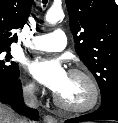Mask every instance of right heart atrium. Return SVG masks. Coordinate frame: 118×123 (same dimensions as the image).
Here are the masks:
<instances>
[{
    "instance_id": "right-heart-atrium-1",
    "label": "right heart atrium",
    "mask_w": 118,
    "mask_h": 123,
    "mask_svg": "<svg viewBox=\"0 0 118 123\" xmlns=\"http://www.w3.org/2000/svg\"><path fill=\"white\" fill-rule=\"evenodd\" d=\"M36 90V86L34 83H28L26 84V86L24 87V91L27 95H34Z\"/></svg>"
}]
</instances>
